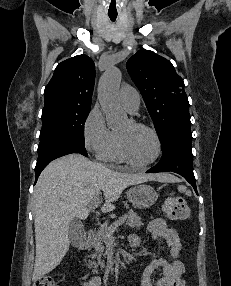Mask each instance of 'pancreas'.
I'll use <instances>...</instances> for the list:
<instances>
[{
  "label": "pancreas",
  "mask_w": 231,
  "mask_h": 286,
  "mask_svg": "<svg viewBox=\"0 0 231 286\" xmlns=\"http://www.w3.org/2000/svg\"><path fill=\"white\" fill-rule=\"evenodd\" d=\"M120 219H125L126 225L130 228L139 229L143 223L141 221V217H139L134 212H129L128 214L123 215L120 217ZM113 225L108 224L107 222L103 223L99 229L95 232L94 237L92 239L93 247L96 251L95 254H93V257L97 258L96 261H91L88 264V267L90 269H96L98 266L105 267L104 262L101 261V257L104 256V246L103 243H106L108 239L112 237V235L109 232V228Z\"/></svg>",
  "instance_id": "cf45deb5"
}]
</instances>
